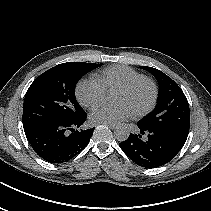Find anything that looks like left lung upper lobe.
<instances>
[{
  "label": "left lung upper lobe",
  "mask_w": 211,
  "mask_h": 211,
  "mask_svg": "<svg viewBox=\"0 0 211 211\" xmlns=\"http://www.w3.org/2000/svg\"><path fill=\"white\" fill-rule=\"evenodd\" d=\"M139 68L149 71L159 83L157 107L139 124L165 131L185 142L189 133L190 111L182 89L158 69L147 66Z\"/></svg>",
  "instance_id": "obj_1"
}]
</instances>
